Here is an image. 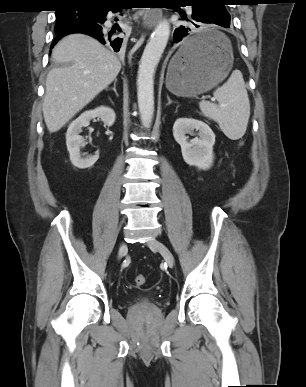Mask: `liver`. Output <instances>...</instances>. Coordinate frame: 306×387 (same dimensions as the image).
Masks as SVG:
<instances>
[{
    "instance_id": "6515ba94",
    "label": "liver",
    "mask_w": 306,
    "mask_h": 387,
    "mask_svg": "<svg viewBox=\"0 0 306 387\" xmlns=\"http://www.w3.org/2000/svg\"><path fill=\"white\" fill-rule=\"evenodd\" d=\"M61 66L47 75L43 116L50 133L60 130L108 87L121 70L114 53L84 34L62 38L52 50Z\"/></svg>"
}]
</instances>
